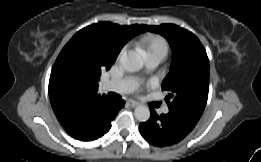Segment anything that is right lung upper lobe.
I'll use <instances>...</instances> for the list:
<instances>
[{
	"label": "right lung upper lobe",
	"mask_w": 261,
	"mask_h": 162,
	"mask_svg": "<svg viewBox=\"0 0 261 162\" xmlns=\"http://www.w3.org/2000/svg\"><path fill=\"white\" fill-rule=\"evenodd\" d=\"M143 31L142 25L138 24L120 26L101 22L78 31L64 46L58 57L67 54L87 65L85 77L71 87L58 85L53 75L50 76L51 105L65 129L101 102L109 100L106 95L97 93L101 70H109L124 44Z\"/></svg>",
	"instance_id": "cb5924a9"
}]
</instances>
